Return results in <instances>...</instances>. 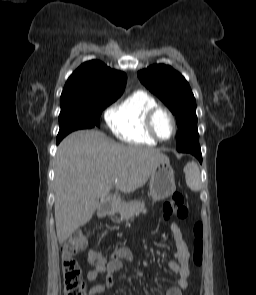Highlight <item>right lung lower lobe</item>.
<instances>
[{
  "label": "right lung lower lobe",
  "instance_id": "obj_1",
  "mask_svg": "<svg viewBox=\"0 0 256 295\" xmlns=\"http://www.w3.org/2000/svg\"><path fill=\"white\" fill-rule=\"evenodd\" d=\"M86 124L89 126L88 128H92L94 126H92V122L91 119L87 118L86 119ZM64 137H57V144H59V142L63 139Z\"/></svg>",
  "mask_w": 256,
  "mask_h": 295
}]
</instances>
